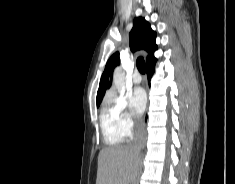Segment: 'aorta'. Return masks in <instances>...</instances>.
<instances>
[{
	"label": "aorta",
	"mask_w": 235,
	"mask_h": 184,
	"mask_svg": "<svg viewBox=\"0 0 235 184\" xmlns=\"http://www.w3.org/2000/svg\"><path fill=\"white\" fill-rule=\"evenodd\" d=\"M113 82L118 92H122V90H125V72H122V68H115L113 74Z\"/></svg>",
	"instance_id": "762f6f07"
}]
</instances>
